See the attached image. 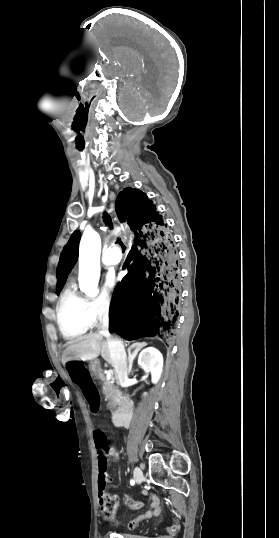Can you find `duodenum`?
<instances>
[{
	"instance_id": "obj_1",
	"label": "duodenum",
	"mask_w": 279,
	"mask_h": 538,
	"mask_svg": "<svg viewBox=\"0 0 279 538\" xmlns=\"http://www.w3.org/2000/svg\"><path fill=\"white\" fill-rule=\"evenodd\" d=\"M93 373L98 374L100 372L99 366L97 364H94L92 366ZM119 405L122 408H116L113 413V417L110 419V422L112 423V427L114 429H127L130 427L129 422H133L132 413L133 410L131 409V406L134 405V402L130 400H121L119 402Z\"/></svg>"
}]
</instances>
